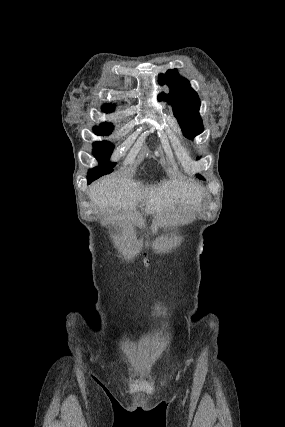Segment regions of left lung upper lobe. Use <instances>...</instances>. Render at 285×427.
I'll return each instance as SVG.
<instances>
[{"mask_svg":"<svg viewBox=\"0 0 285 427\" xmlns=\"http://www.w3.org/2000/svg\"><path fill=\"white\" fill-rule=\"evenodd\" d=\"M161 85H168L170 94L160 93L158 100H167L172 106L174 116L182 129L183 134L193 139L203 132V124L199 115L200 99L197 93L191 88L187 79L178 75L176 69L168 70L159 76ZM199 159V158H197ZM197 177L204 179L201 175Z\"/></svg>","mask_w":285,"mask_h":427,"instance_id":"5c2ea615","label":"left lung upper lobe"}]
</instances>
